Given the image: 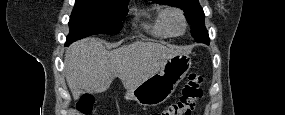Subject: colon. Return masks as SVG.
Here are the masks:
<instances>
[{"instance_id": "obj_1", "label": "colon", "mask_w": 285, "mask_h": 115, "mask_svg": "<svg viewBox=\"0 0 285 115\" xmlns=\"http://www.w3.org/2000/svg\"><path fill=\"white\" fill-rule=\"evenodd\" d=\"M202 82V75L198 71L191 72L178 101L153 115H191L198 100L202 97ZM79 109L84 114L91 113L93 98L90 95L83 96L79 102Z\"/></svg>"}]
</instances>
